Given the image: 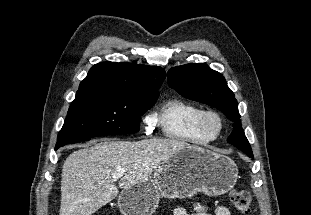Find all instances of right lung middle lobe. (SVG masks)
<instances>
[{"label": "right lung middle lobe", "mask_w": 311, "mask_h": 215, "mask_svg": "<svg viewBox=\"0 0 311 215\" xmlns=\"http://www.w3.org/2000/svg\"><path fill=\"white\" fill-rule=\"evenodd\" d=\"M157 98L78 90L58 134L55 149L96 136L138 132L141 116Z\"/></svg>", "instance_id": "obj_1"}]
</instances>
